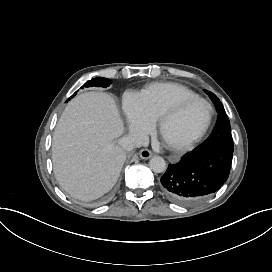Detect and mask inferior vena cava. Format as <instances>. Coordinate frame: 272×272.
Wrapping results in <instances>:
<instances>
[{"mask_svg": "<svg viewBox=\"0 0 272 272\" xmlns=\"http://www.w3.org/2000/svg\"><path fill=\"white\" fill-rule=\"evenodd\" d=\"M121 144L126 149L132 147H147L149 145V136L143 131H134L127 138L121 140Z\"/></svg>", "mask_w": 272, "mask_h": 272, "instance_id": "inferior-vena-cava-1", "label": "inferior vena cava"}]
</instances>
